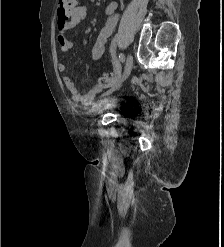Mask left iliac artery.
<instances>
[{
  "mask_svg": "<svg viewBox=\"0 0 224 247\" xmlns=\"http://www.w3.org/2000/svg\"><path fill=\"white\" fill-rule=\"evenodd\" d=\"M119 59H120L121 62H124L125 61V56H124L123 53H120L119 54Z\"/></svg>",
  "mask_w": 224,
  "mask_h": 247,
  "instance_id": "obj_1",
  "label": "left iliac artery"
}]
</instances>
